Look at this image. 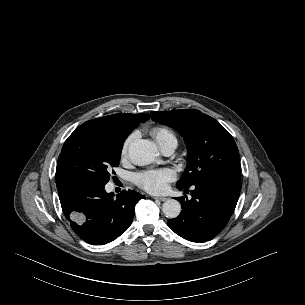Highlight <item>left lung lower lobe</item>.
I'll use <instances>...</instances> for the list:
<instances>
[{"instance_id": "left-lung-lower-lobe-1", "label": "left lung lower lobe", "mask_w": 305, "mask_h": 305, "mask_svg": "<svg viewBox=\"0 0 305 305\" xmlns=\"http://www.w3.org/2000/svg\"><path fill=\"white\" fill-rule=\"evenodd\" d=\"M193 188L191 200L177 198L183 210L177 218L168 220L167 225L186 240L205 242L214 238L228 223L240 195L241 175L211 176L193 185Z\"/></svg>"}]
</instances>
